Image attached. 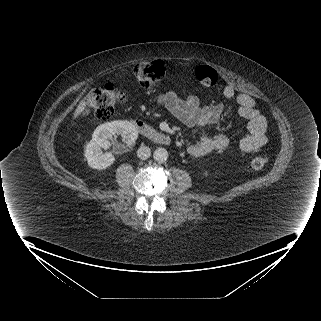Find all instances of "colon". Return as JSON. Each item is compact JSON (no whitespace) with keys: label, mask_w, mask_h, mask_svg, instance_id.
<instances>
[{"label":"colon","mask_w":321,"mask_h":321,"mask_svg":"<svg viewBox=\"0 0 321 321\" xmlns=\"http://www.w3.org/2000/svg\"><path fill=\"white\" fill-rule=\"evenodd\" d=\"M133 74L140 85L152 88L166 77L167 69L162 61L144 62L135 66ZM195 76L201 84L209 87L215 86L218 81L216 70L208 65L198 66ZM123 98V92L112 84H106L88 94L83 112H92L97 119L107 120L115 114L116 106ZM266 162L265 157L258 156L251 160L250 167L253 170H261Z\"/></svg>","instance_id":"5ec220e1"}]
</instances>
